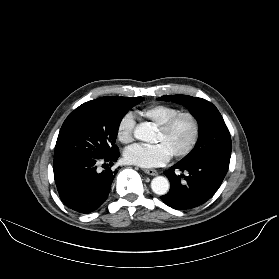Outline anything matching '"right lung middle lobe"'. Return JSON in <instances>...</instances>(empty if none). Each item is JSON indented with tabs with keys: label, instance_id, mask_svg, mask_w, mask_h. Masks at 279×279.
<instances>
[{
	"label": "right lung middle lobe",
	"instance_id": "dd1d6c3e",
	"mask_svg": "<svg viewBox=\"0 0 279 279\" xmlns=\"http://www.w3.org/2000/svg\"><path fill=\"white\" fill-rule=\"evenodd\" d=\"M142 97H108L92 100L76 108L59 132L54 160L63 158H104L118 150L115 145L123 116Z\"/></svg>",
	"mask_w": 279,
	"mask_h": 279
}]
</instances>
